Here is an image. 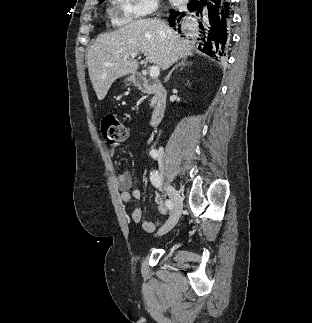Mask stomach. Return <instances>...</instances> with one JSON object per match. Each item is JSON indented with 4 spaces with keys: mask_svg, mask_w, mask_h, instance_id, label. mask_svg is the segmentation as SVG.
<instances>
[{
    "mask_svg": "<svg viewBox=\"0 0 312 323\" xmlns=\"http://www.w3.org/2000/svg\"><path fill=\"white\" fill-rule=\"evenodd\" d=\"M126 82H135V74H133V76H128Z\"/></svg>",
    "mask_w": 312,
    "mask_h": 323,
    "instance_id": "stomach-1",
    "label": "stomach"
}]
</instances>
